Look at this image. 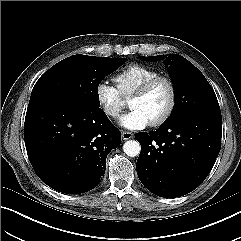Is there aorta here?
I'll return each mask as SVG.
<instances>
[{
	"label": "aorta",
	"mask_w": 241,
	"mask_h": 241,
	"mask_svg": "<svg viewBox=\"0 0 241 241\" xmlns=\"http://www.w3.org/2000/svg\"><path fill=\"white\" fill-rule=\"evenodd\" d=\"M123 151L130 157H136L141 151L140 143L136 140H128L123 145Z\"/></svg>",
	"instance_id": "obj_1"
}]
</instances>
